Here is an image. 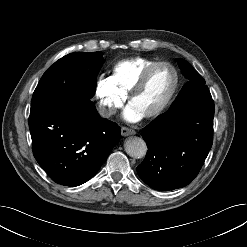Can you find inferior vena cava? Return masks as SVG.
Instances as JSON below:
<instances>
[{
  "label": "inferior vena cava",
  "instance_id": "602c4592",
  "mask_svg": "<svg viewBox=\"0 0 247 247\" xmlns=\"http://www.w3.org/2000/svg\"><path fill=\"white\" fill-rule=\"evenodd\" d=\"M99 114L104 118H108L114 114V110L112 108L101 107L99 109Z\"/></svg>",
  "mask_w": 247,
  "mask_h": 247
}]
</instances>
